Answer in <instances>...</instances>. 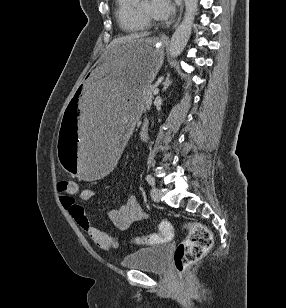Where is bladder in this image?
Instances as JSON below:
<instances>
[{
	"label": "bladder",
	"mask_w": 286,
	"mask_h": 308,
	"mask_svg": "<svg viewBox=\"0 0 286 308\" xmlns=\"http://www.w3.org/2000/svg\"><path fill=\"white\" fill-rule=\"evenodd\" d=\"M168 260V246L156 245L138 249L122 260V266L127 269H137L148 272H163Z\"/></svg>",
	"instance_id": "31cf9c89"
}]
</instances>
